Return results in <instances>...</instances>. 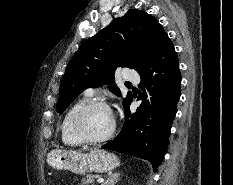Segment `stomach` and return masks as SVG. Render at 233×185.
<instances>
[{"label":"stomach","instance_id":"1","mask_svg":"<svg viewBox=\"0 0 233 185\" xmlns=\"http://www.w3.org/2000/svg\"><path fill=\"white\" fill-rule=\"evenodd\" d=\"M48 164L57 170H69L76 174L89 171L107 172L119 165L118 158L104 150L94 149L89 153L52 150L47 157Z\"/></svg>","mask_w":233,"mask_h":185}]
</instances>
